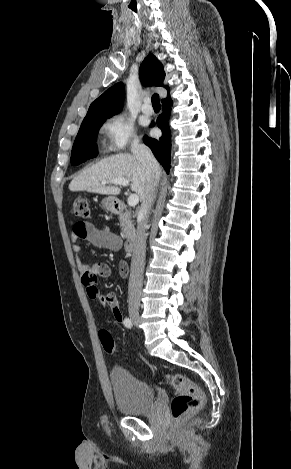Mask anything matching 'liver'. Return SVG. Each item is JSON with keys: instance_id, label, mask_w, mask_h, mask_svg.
<instances>
[{"instance_id": "liver-1", "label": "liver", "mask_w": 291, "mask_h": 469, "mask_svg": "<svg viewBox=\"0 0 291 469\" xmlns=\"http://www.w3.org/2000/svg\"><path fill=\"white\" fill-rule=\"evenodd\" d=\"M117 178L129 180L131 190L138 195L141 202L143 201L150 187V181L147 179L146 170L142 163L129 153L109 156L85 169L70 182L69 190L118 195L121 192L118 186H106L102 183Z\"/></svg>"}]
</instances>
